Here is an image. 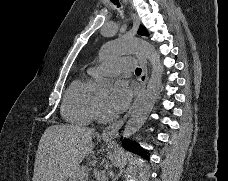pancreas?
<instances>
[{
  "label": "pancreas",
  "mask_w": 228,
  "mask_h": 181,
  "mask_svg": "<svg viewBox=\"0 0 228 181\" xmlns=\"http://www.w3.org/2000/svg\"><path fill=\"white\" fill-rule=\"evenodd\" d=\"M69 181H88V169L87 167H78L73 171L72 175H70Z\"/></svg>",
  "instance_id": "cf45deb5"
}]
</instances>
